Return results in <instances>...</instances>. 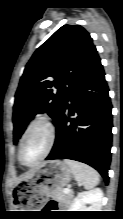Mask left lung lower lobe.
<instances>
[{
    "instance_id": "0a47b994",
    "label": "left lung lower lobe",
    "mask_w": 123,
    "mask_h": 219,
    "mask_svg": "<svg viewBox=\"0 0 123 219\" xmlns=\"http://www.w3.org/2000/svg\"><path fill=\"white\" fill-rule=\"evenodd\" d=\"M100 61L99 56L95 57L74 82L56 122L55 143L46 160L86 163L108 183L112 105Z\"/></svg>"
}]
</instances>
